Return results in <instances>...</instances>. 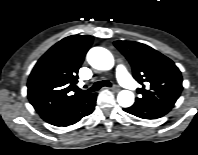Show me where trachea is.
<instances>
[{
  "mask_svg": "<svg viewBox=\"0 0 198 155\" xmlns=\"http://www.w3.org/2000/svg\"><path fill=\"white\" fill-rule=\"evenodd\" d=\"M112 84L108 80H103L100 82H96L91 88L87 90V92H95L98 91L102 87H111Z\"/></svg>",
  "mask_w": 198,
  "mask_h": 155,
  "instance_id": "1",
  "label": "trachea"
}]
</instances>
